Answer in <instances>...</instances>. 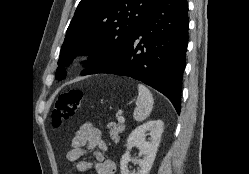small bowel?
Returning a JSON list of instances; mask_svg holds the SVG:
<instances>
[{
  "instance_id": "obj_1",
  "label": "small bowel",
  "mask_w": 249,
  "mask_h": 174,
  "mask_svg": "<svg viewBox=\"0 0 249 174\" xmlns=\"http://www.w3.org/2000/svg\"><path fill=\"white\" fill-rule=\"evenodd\" d=\"M71 146L72 148L66 153V159L76 162L77 171L86 172L94 169L97 174L116 173L115 162L105 156L108 145L101 131L92 123L86 122L80 126L71 139ZM88 154L93 156V161L80 160Z\"/></svg>"
}]
</instances>
